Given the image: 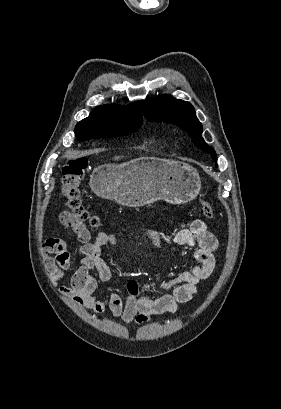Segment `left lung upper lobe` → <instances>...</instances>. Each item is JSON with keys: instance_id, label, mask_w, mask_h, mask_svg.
<instances>
[{"instance_id": "left-lung-upper-lobe-1", "label": "left lung upper lobe", "mask_w": 281, "mask_h": 409, "mask_svg": "<svg viewBox=\"0 0 281 409\" xmlns=\"http://www.w3.org/2000/svg\"><path fill=\"white\" fill-rule=\"evenodd\" d=\"M143 113L147 120L167 122L187 131L192 142L200 149L211 154L216 161V153L202 138V124L195 115L194 107L186 101L168 95L141 101Z\"/></svg>"}]
</instances>
